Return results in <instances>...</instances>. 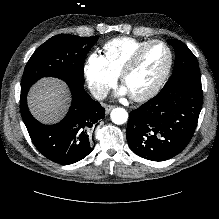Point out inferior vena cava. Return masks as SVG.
Returning <instances> with one entry per match:
<instances>
[{
	"instance_id": "1",
	"label": "inferior vena cava",
	"mask_w": 219,
	"mask_h": 219,
	"mask_svg": "<svg viewBox=\"0 0 219 219\" xmlns=\"http://www.w3.org/2000/svg\"><path fill=\"white\" fill-rule=\"evenodd\" d=\"M90 92L96 100L100 101L107 97L109 90L103 86H92Z\"/></svg>"
}]
</instances>
